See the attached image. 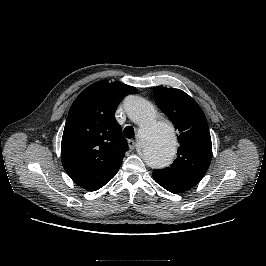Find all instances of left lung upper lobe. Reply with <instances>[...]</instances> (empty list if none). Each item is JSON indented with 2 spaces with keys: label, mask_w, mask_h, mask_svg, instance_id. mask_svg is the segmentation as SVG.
Segmentation results:
<instances>
[{
  "label": "left lung upper lobe",
  "mask_w": 266,
  "mask_h": 266,
  "mask_svg": "<svg viewBox=\"0 0 266 266\" xmlns=\"http://www.w3.org/2000/svg\"><path fill=\"white\" fill-rule=\"evenodd\" d=\"M154 99L179 131L175 161L165 169H154L153 177L187 191L204 177L212 158V143L206 117L184 91L156 87Z\"/></svg>",
  "instance_id": "1"
}]
</instances>
